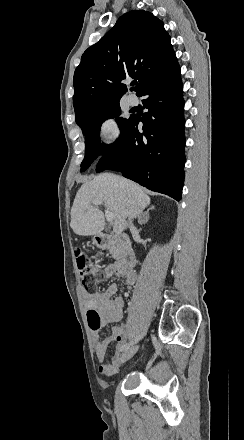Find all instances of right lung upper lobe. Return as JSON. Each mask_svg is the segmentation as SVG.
I'll list each match as a JSON object with an SVG mask.
<instances>
[{
    "label": "right lung upper lobe",
    "mask_w": 244,
    "mask_h": 440,
    "mask_svg": "<svg viewBox=\"0 0 244 440\" xmlns=\"http://www.w3.org/2000/svg\"><path fill=\"white\" fill-rule=\"evenodd\" d=\"M173 63L177 58L162 21L148 11L127 12L82 55L73 80L74 109L120 99L127 92L121 81L129 77L138 79L132 88L138 93L154 73Z\"/></svg>",
    "instance_id": "1"
}]
</instances>
